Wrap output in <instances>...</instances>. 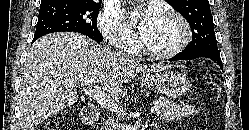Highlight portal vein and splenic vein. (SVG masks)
I'll use <instances>...</instances> for the list:
<instances>
[{"label": "portal vein and splenic vein", "mask_w": 249, "mask_h": 130, "mask_svg": "<svg viewBox=\"0 0 249 130\" xmlns=\"http://www.w3.org/2000/svg\"><path fill=\"white\" fill-rule=\"evenodd\" d=\"M84 93L94 100H96L100 105L109 108L112 111H118L116 104H113L111 100L106 96L104 92L99 89L84 88ZM159 105H154L150 111L151 113L159 112Z\"/></svg>", "instance_id": "18ae733b"}]
</instances>
